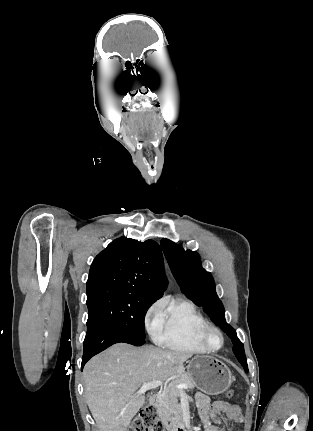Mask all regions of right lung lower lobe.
Returning a JSON list of instances; mask_svg holds the SVG:
<instances>
[{"mask_svg": "<svg viewBox=\"0 0 313 431\" xmlns=\"http://www.w3.org/2000/svg\"><path fill=\"white\" fill-rule=\"evenodd\" d=\"M119 342L141 346L145 343V340L108 326H101L92 332L86 333L81 369L91 357Z\"/></svg>", "mask_w": 313, "mask_h": 431, "instance_id": "right-lung-lower-lobe-1", "label": "right lung lower lobe"}]
</instances>
